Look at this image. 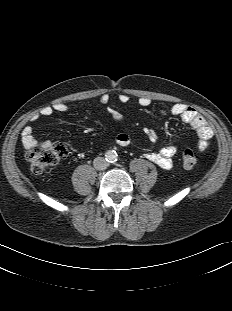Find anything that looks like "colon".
Wrapping results in <instances>:
<instances>
[{
  "mask_svg": "<svg viewBox=\"0 0 232 311\" xmlns=\"http://www.w3.org/2000/svg\"><path fill=\"white\" fill-rule=\"evenodd\" d=\"M67 147L63 143H53L48 146L32 148L27 153L30 172L34 175L42 174L66 158ZM197 158L193 150L185 149L182 153V164L185 168H193Z\"/></svg>",
  "mask_w": 232,
  "mask_h": 311,
  "instance_id": "1",
  "label": "colon"
}]
</instances>
